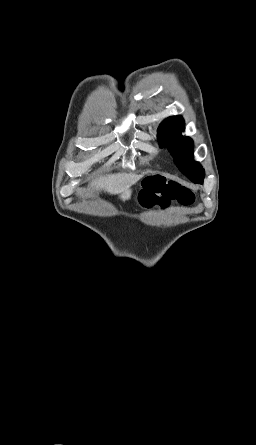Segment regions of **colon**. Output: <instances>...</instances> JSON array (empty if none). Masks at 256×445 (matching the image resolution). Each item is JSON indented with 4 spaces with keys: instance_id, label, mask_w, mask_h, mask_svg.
<instances>
[{
    "instance_id": "obj_1",
    "label": "colon",
    "mask_w": 256,
    "mask_h": 445,
    "mask_svg": "<svg viewBox=\"0 0 256 445\" xmlns=\"http://www.w3.org/2000/svg\"><path fill=\"white\" fill-rule=\"evenodd\" d=\"M139 202L146 209H166L174 203L188 206L194 202V193L176 182L151 177L145 181L144 188L139 193Z\"/></svg>"
}]
</instances>
